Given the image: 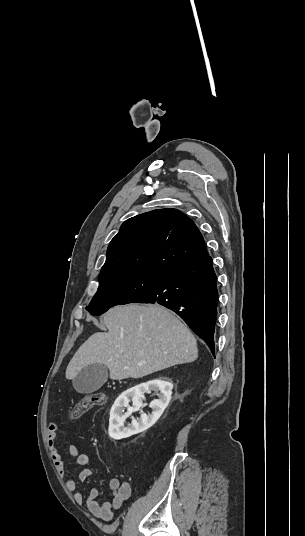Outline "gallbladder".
Wrapping results in <instances>:
<instances>
[{
	"mask_svg": "<svg viewBox=\"0 0 305 536\" xmlns=\"http://www.w3.org/2000/svg\"><path fill=\"white\" fill-rule=\"evenodd\" d=\"M108 370L104 364H90L78 372L72 384L79 394H92L107 382Z\"/></svg>",
	"mask_w": 305,
	"mask_h": 536,
	"instance_id": "bac80fb5",
	"label": "gallbladder"
}]
</instances>
